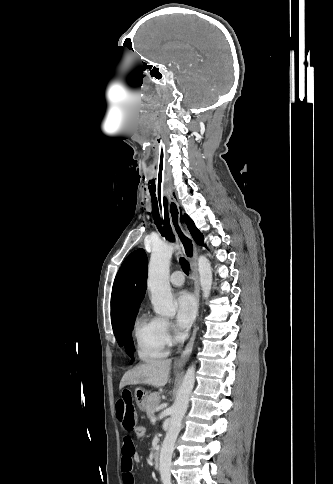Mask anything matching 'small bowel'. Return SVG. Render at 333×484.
<instances>
[{
  "label": "small bowel",
  "instance_id": "1",
  "mask_svg": "<svg viewBox=\"0 0 333 484\" xmlns=\"http://www.w3.org/2000/svg\"><path fill=\"white\" fill-rule=\"evenodd\" d=\"M116 419L125 430L123 437L121 471L124 484H134L133 465L139 461L136 453L134 440L131 435L138 423L137 411L130 389L124 388L115 404Z\"/></svg>",
  "mask_w": 333,
  "mask_h": 484
}]
</instances>
